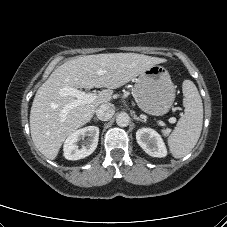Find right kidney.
I'll use <instances>...</instances> for the list:
<instances>
[{"instance_id": "right-kidney-1", "label": "right kidney", "mask_w": 227, "mask_h": 227, "mask_svg": "<svg viewBox=\"0 0 227 227\" xmlns=\"http://www.w3.org/2000/svg\"><path fill=\"white\" fill-rule=\"evenodd\" d=\"M86 137V140L84 138ZM99 128L88 126L74 131L64 142V156L68 160H79L89 156L98 145ZM81 140H84L81 142Z\"/></svg>"}]
</instances>
